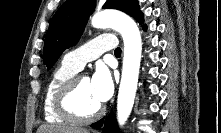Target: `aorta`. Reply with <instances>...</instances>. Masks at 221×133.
I'll return each instance as SVG.
<instances>
[{
	"mask_svg": "<svg viewBox=\"0 0 221 133\" xmlns=\"http://www.w3.org/2000/svg\"><path fill=\"white\" fill-rule=\"evenodd\" d=\"M95 28H113L124 41V57L121 82L117 99V119L120 126L128 120L137 90L142 41L139 28L132 18L117 11H102L91 20Z\"/></svg>",
	"mask_w": 221,
	"mask_h": 133,
	"instance_id": "762f6f07",
	"label": "aorta"
}]
</instances>
